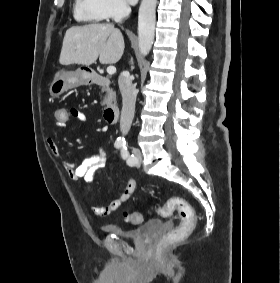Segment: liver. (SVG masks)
<instances>
[{
    "label": "liver",
    "instance_id": "liver-1",
    "mask_svg": "<svg viewBox=\"0 0 280 283\" xmlns=\"http://www.w3.org/2000/svg\"><path fill=\"white\" fill-rule=\"evenodd\" d=\"M124 48L123 35L112 24L71 27L65 33L59 62L90 66L99 57L102 64H114L121 59Z\"/></svg>",
    "mask_w": 280,
    "mask_h": 283
}]
</instances>
